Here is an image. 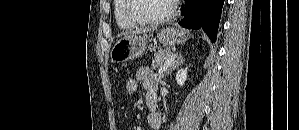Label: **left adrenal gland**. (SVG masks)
I'll return each mask as SVG.
<instances>
[{"mask_svg": "<svg viewBox=\"0 0 299 130\" xmlns=\"http://www.w3.org/2000/svg\"><path fill=\"white\" fill-rule=\"evenodd\" d=\"M184 62V59L181 54L176 57V60L173 62V64L170 66V68L167 70L166 75L170 74L173 70L176 69L180 64Z\"/></svg>", "mask_w": 299, "mask_h": 130, "instance_id": "a2214340", "label": "left adrenal gland"}]
</instances>
